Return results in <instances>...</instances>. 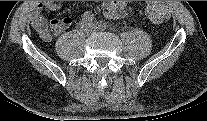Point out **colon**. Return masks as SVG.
<instances>
[{"mask_svg": "<svg viewBox=\"0 0 207 121\" xmlns=\"http://www.w3.org/2000/svg\"><path fill=\"white\" fill-rule=\"evenodd\" d=\"M145 12L148 19L154 23H161L170 16V9L163 1H150Z\"/></svg>", "mask_w": 207, "mask_h": 121, "instance_id": "5ec220e1", "label": "colon"}]
</instances>
